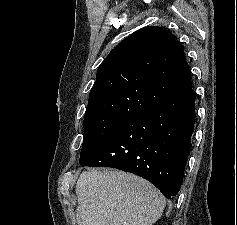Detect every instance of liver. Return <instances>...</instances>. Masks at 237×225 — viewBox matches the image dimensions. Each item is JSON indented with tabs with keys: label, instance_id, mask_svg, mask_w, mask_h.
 <instances>
[{
	"label": "liver",
	"instance_id": "liver-1",
	"mask_svg": "<svg viewBox=\"0 0 237 225\" xmlns=\"http://www.w3.org/2000/svg\"><path fill=\"white\" fill-rule=\"evenodd\" d=\"M76 194L78 225H153L166 205L150 182L118 170L83 172Z\"/></svg>",
	"mask_w": 237,
	"mask_h": 225
}]
</instances>
